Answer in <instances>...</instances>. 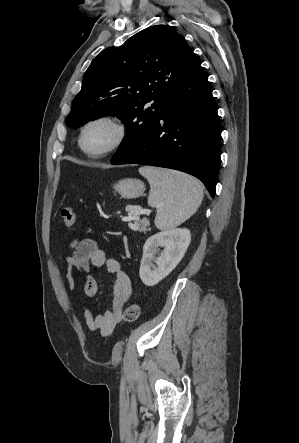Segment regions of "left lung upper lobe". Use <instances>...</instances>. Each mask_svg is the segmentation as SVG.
<instances>
[{
	"label": "left lung upper lobe",
	"mask_w": 299,
	"mask_h": 443,
	"mask_svg": "<svg viewBox=\"0 0 299 443\" xmlns=\"http://www.w3.org/2000/svg\"><path fill=\"white\" fill-rule=\"evenodd\" d=\"M198 65L172 27H148L92 61L66 125L74 129L99 117L117 116L126 136L111 160L116 159L153 126L173 89Z\"/></svg>",
	"instance_id": "left-lung-upper-lobe-1"
}]
</instances>
